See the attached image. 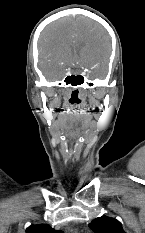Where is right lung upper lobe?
Wrapping results in <instances>:
<instances>
[{"mask_svg":"<svg viewBox=\"0 0 145 233\" xmlns=\"http://www.w3.org/2000/svg\"><path fill=\"white\" fill-rule=\"evenodd\" d=\"M26 233H63L62 231L54 230L47 224L32 225L26 229Z\"/></svg>","mask_w":145,"mask_h":233,"instance_id":"right-lung-upper-lobe-1","label":"right lung upper lobe"}]
</instances>
